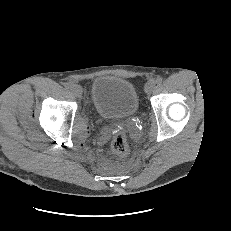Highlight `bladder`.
<instances>
[{
  "instance_id": "obj_1",
  "label": "bladder",
  "mask_w": 231,
  "mask_h": 231,
  "mask_svg": "<svg viewBox=\"0 0 231 231\" xmlns=\"http://www.w3.org/2000/svg\"><path fill=\"white\" fill-rule=\"evenodd\" d=\"M91 100L97 113L105 119L132 116L139 107L134 85L126 79L112 75H102L93 80Z\"/></svg>"
}]
</instances>
